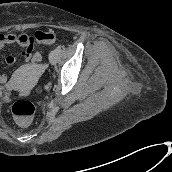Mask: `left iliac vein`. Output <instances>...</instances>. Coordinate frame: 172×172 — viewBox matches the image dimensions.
Segmentation results:
<instances>
[{"instance_id":"1","label":"left iliac vein","mask_w":172,"mask_h":172,"mask_svg":"<svg viewBox=\"0 0 172 172\" xmlns=\"http://www.w3.org/2000/svg\"><path fill=\"white\" fill-rule=\"evenodd\" d=\"M58 58V52L56 50H52L49 53V61L51 64H55Z\"/></svg>"}]
</instances>
